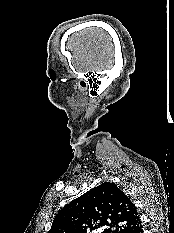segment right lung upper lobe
<instances>
[{
    "instance_id": "cb5924a9",
    "label": "right lung upper lobe",
    "mask_w": 174,
    "mask_h": 233,
    "mask_svg": "<svg viewBox=\"0 0 174 233\" xmlns=\"http://www.w3.org/2000/svg\"><path fill=\"white\" fill-rule=\"evenodd\" d=\"M135 233L142 225L135 205L117 185L102 183L58 212L49 233Z\"/></svg>"
}]
</instances>
